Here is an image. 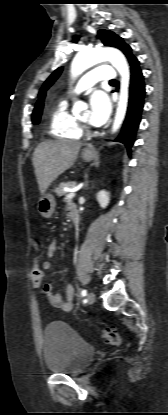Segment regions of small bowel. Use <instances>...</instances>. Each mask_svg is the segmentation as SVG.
Returning a JSON list of instances; mask_svg holds the SVG:
<instances>
[{"mask_svg":"<svg viewBox=\"0 0 168 415\" xmlns=\"http://www.w3.org/2000/svg\"><path fill=\"white\" fill-rule=\"evenodd\" d=\"M70 206H73L69 204L67 206V209H69ZM57 250V244L54 240L50 241L46 248V254H45V264L44 269L47 270L52 266V260L55 256ZM42 292L45 294V296L48 298L50 304L58 308L62 311L68 312L71 311L74 307V288L71 285H68L65 289V296H63L60 293H53V286L51 283H43L41 286Z\"/></svg>","mask_w":168,"mask_h":415,"instance_id":"c3829d8e","label":"small bowel"}]
</instances>
